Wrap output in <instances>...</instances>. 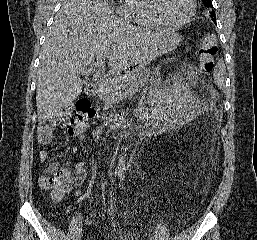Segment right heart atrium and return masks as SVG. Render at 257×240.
<instances>
[{"instance_id":"obj_1","label":"right heart atrium","mask_w":257,"mask_h":240,"mask_svg":"<svg viewBox=\"0 0 257 240\" xmlns=\"http://www.w3.org/2000/svg\"><path fill=\"white\" fill-rule=\"evenodd\" d=\"M126 1V0H125ZM118 12L124 17V18H127V19H130V13L128 12V10L126 9L125 7V2L120 5L118 7Z\"/></svg>"}]
</instances>
